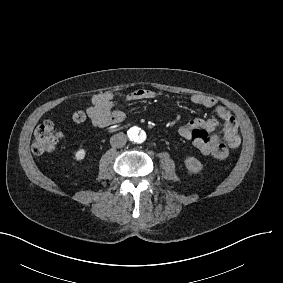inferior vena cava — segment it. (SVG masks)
Masks as SVG:
<instances>
[{"label":"inferior vena cava","instance_id":"602c4592","mask_svg":"<svg viewBox=\"0 0 283 283\" xmlns=\"http://www.w3.org/2000/svg\"><path fill=\"white\" fill-rule=\"evenodd\" d=\"M127 143V137L123 133L114 134L110 138V145L115 148H122Z\"/></svg>","mask_w":283,"mask_h":283}]
</instances>
